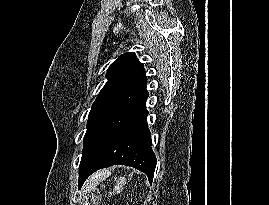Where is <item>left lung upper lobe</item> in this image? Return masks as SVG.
I'll use <instances>...</instances> for the list:
<instances>
[{"label":"left lung upper lobe","mask_w":269,"mask_h":205,"mask_svg":"<svg viewBox=\"0 0 269 205\" xmlns=\"http://www.w3.org/2000/svg\"><path fill=\"white\" fill-rule=\"evenodd\" d=\"M108 81L92 105L84 148L94 133L146 90L144 67L133 52L119 56L108 68ZM83 148V150H84Z\"/></svg>","instance_id":"obj_1"}]
</instances>
